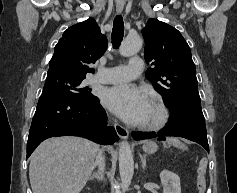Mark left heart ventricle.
<instances>
[{"label": "left heart ventricle", "instance_id": "1", "mask_svg": "<svg viewBox=\"0 0 237 193\" xmlns=\"http://www.w3.org/2000/svg\"><path fill=\"white\" fill-rule=\"evenodd\" d=\"M158 117V110L155 105L149 101L144 111L141 123L152 122Z\"/></svg>", "mask_w": 237, "mask_h": 193}]
</instances>
